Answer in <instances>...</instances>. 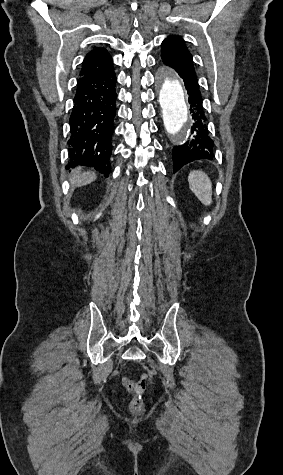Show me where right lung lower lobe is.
<instances>
[{
	"instance_id": "obj_1",
	"label": "right lung lower lobe",
	"mask_w": 283,
	"mask_h": 475,
	"mask_svg": "<svg viewBox=\"0 0 283 475\" xmlns=\"http://www.w3.org/2000/svg\"><path fill=\"white\" fill-rule=\"evenodd\" d=\"M115 85L113 67L101 73L79 75L69 119L71 167L85 165L106 177L109 175L116 115Z\"/></svg>"
}]
</instances>
